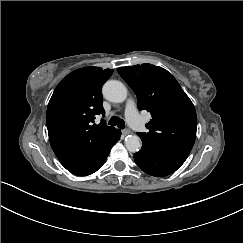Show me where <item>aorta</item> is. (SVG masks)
Segmentation results:
<instances>
[{"label": "aorta", "instance_id": "1", "mask_svg": "<svg viewBox=\"0 0 243 243\" xmlns=\"http://www.w3.org/2000/svg\"><path fill=\"white\" fill-rule=\"evenodd\" d=\"M102 93L105 99L121 103L127 97V88L120 81L109 80L104 84ZM125 146L129 152H137L141 148V140L137 135H128L125 140Z\"/></svg>", "mask_w": 243, "mask_h": 243}]
</instances>
